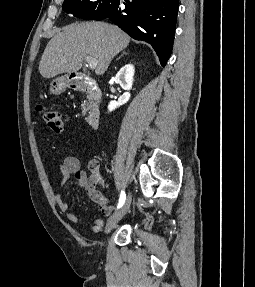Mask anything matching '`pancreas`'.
I'll return each instance as SVG.
<instances>
[{
	"label": "pancreas",
	"instance_id": "obj_1",
	"mask_svg": "<svg viewBox=\"0 0 255 287\" xmlns=\"http://www.w3.org/2000/svg\"><path fill=\"white\" fill-rule=\"evenodd\" d=\"M81 110H82L83 114H86V112H88V110H90V108H88L87 104H81Z\"/></svg>",
	"mask_w": 255,
	"mask_h": 287
}]
</instances>
